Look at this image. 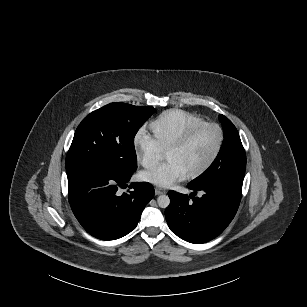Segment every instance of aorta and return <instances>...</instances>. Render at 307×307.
Listing matches in <instances>:
<instances>
[{
	"mask_svg": "<svg viewBox=\"0 0 307 307\" xmlns=\"http://www.w3.org/2000/svg\"><path fill=\"white\" fill-rule=\"evenodd\" d=\"M158 206L161 208H166L170 204V198L167 195H160L157 198Z\"/></svg>",
	"mask_w": 307,
	"mask_h": 307,
	"instance_id": "aorta-1",
	"label": "aorta"
}]
</instances>
